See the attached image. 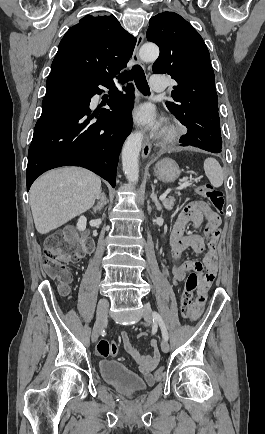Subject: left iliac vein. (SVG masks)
<instances>
[{
  "instance_id": "left-iliac-vein-1",
  "label": "left iliac vein",
  "mask_w": 265,
  "mask_h": 434,
  "mask_svg": "<svg viewBox=\"0 0 265 434\" xmlns=\"http://www.w3.org/2000/svg\"><path fill=\"white\" fill-rule=\"evenodd\" d=\"M142 315H143L145 322L147 324H151L152 319H153V315H152V310H151V307L149 304H147V303L143 304V314ZM161 350L163 352H168V350H169V345H168L167 341L164 339L161 341Z\"/></svg>"
}]
</instances>
